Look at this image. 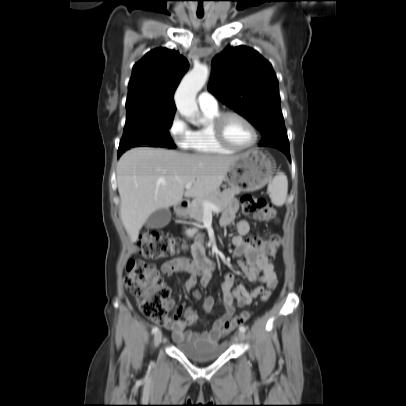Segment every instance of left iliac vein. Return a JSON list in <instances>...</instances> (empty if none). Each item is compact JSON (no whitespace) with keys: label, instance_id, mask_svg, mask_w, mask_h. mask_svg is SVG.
I'll return each instance as SVG.
<instances>
[{"label":"left iliac vein","instance_id":"obj_1","mask_svg":"<svg viewBox=\"0 0 406 406\" xmlns=\"http://www.w3.org/2000/svg\"><path fill=\"white\" fill-rule=\"evenodd\" d=\"M245 338H246L245 333H244V332H241V331L238 332L237 335H236V337H235V339H236V340H239V341H244Z\"/></svg>","mask_w":406,"mask_h":406}]
</instances>
